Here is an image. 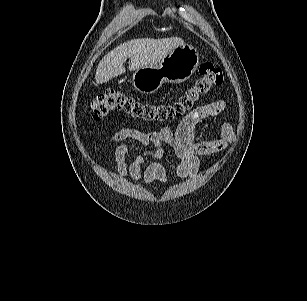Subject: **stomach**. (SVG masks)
Returning a JSON list of instances; mask_svg holds the SVG:
<instances>
[{
    "mask_svg": "<svg viewBox=\"0 0 307 301\" xmlns=\"http://www.w3.org/2000/svg\"><path fill=\"white\" fill-rule=\"evenodd\" d=\"M199 59L194 47L182 44L159 62L137 69L132 83L137 91L144 94L156 92L165 82L183 83L194 74Z\"/></svg>",
    "mask_w": 307,
    "mask_h": 301,
    "instance_id": "1",
    "label": "stomach"
}]
</instances>
